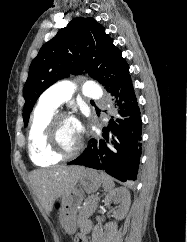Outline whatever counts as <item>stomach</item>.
Instances as JSON below:
<instances>
[{"label": "stomach", "instance_id": "obj_1", "mask_svg": "<svg viewBox=\"0 0 187 242\" xmlns=\"http://www.w3.org/2000/svg\"><path fill=\"white\" fill-rule=\"evenodd\" d=\"M102 185L101 174L93 169L84 168L77 184L62 197L59 211V223L68 234H73L80 221L83 193H94Z\"/></svg>", "mask_w": 187, "mask_h": 242}]
</instances>
